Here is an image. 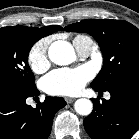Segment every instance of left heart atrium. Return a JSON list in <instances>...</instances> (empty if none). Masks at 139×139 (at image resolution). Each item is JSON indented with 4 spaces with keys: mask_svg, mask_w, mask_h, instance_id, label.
Segmentation results:
<instances>
[{
    "mask_svg": "<svg viewBox=\"0 0 139 139\" xmlns=\"http://www.w3.org/2000/svg\"><path fill=\"white\" fill-rule=\"evenodd\" d=\"M92 72L86 66L56 69L42 80L44 90L51 95H75L91 79Z\"/></svg>",
    "mask_w": 139,
    "mask_h": 139,
    "instance_id": "left-heart-atrium-1",
    "label": "left heart atrium"
}]
</instances>
